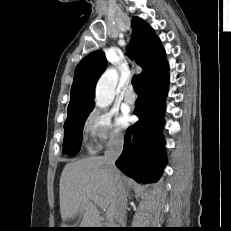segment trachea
Returning <instances> with one entry per match:
<instances>
[{
	"mask_svg": "<svg viewBox=\"0 0 231 231\" xmlns=\"http://www.w3.org/2000/svg\"><path fill=\"white\" fill-rule=\"evenodd\" d=\"M132 85H133V89L138 92L140 91V80H139V77L135 76L133 79H132Z\"/></svg>",
	"mask_w": 231,
	"mask_h": 231,
	"instance_id": "3493384b",
	"label": "trachea"
}]
</instances>
